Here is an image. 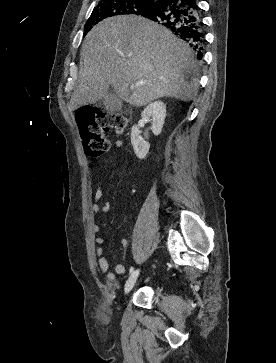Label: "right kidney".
<instances>
[{
    "label": "right kidney",
    "mask_w": 276,
    "mask_h": 363,
    "mask_svg": "<svg viewBox=\"0 0 276 363\" xmlns=\"http://www.w3.org/2000/svg\"><path fill=\"white\" fill-rule=\"evenodd\" d=\"M141 117L144 120L151 118V130L157 136L163 128L166 117V106L161 101L150 103L141 113ZM140 133L139 126L134 125L131 130V143L136 156L139 159H144L148 154L150 144L141 137Z\"/></svg>",
    "instance_id": "1"
}]
</instances>
